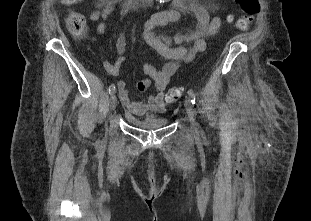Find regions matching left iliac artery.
<instances>
[{
    "label": "left iliac artery",
    "instance_id": "left-iliac-artery-1",
    "mask_svg": "<svg viewBox=\"0 0 311 221\" xmlns=\"http://www.w3.org/2000/svg\"><path fill=\"white\" fill-rule=\"evenodd\" d=\"M188 95L190 97L192 104L195 105L196 104V94L194 93V91L192 89L188 90Z\"/></svg>",
    "mask_w": 311,
    "mask_h": 221
}]
</instances>
